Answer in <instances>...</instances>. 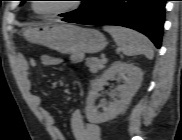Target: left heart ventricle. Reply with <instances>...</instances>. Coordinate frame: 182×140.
<instances>
[{
  "label": "left heart ventricle",
  "mask_w": 182,
  "mask_h": 140,
  "mask_svg": "<svg viewBox=\"0 0 182 140\" xmlns=\"http://www.w3.org/2000/svg\"><path fill=\"white\" fill-rule=\"evenodd\" d=\"M71 2L67 1H45L36 4L37 9L41 13H50L69 7Z\"/></svg>",
  "instance_id": "b2bd125f"
}]
</instances>
